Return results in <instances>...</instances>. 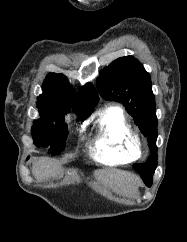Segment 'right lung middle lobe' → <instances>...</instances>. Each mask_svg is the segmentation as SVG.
Masks as SVG:
<instances>
[{
  "mask_svg": "<svg viewBox=\"0 0 187 242\" xmlns=\"http://www.w3.org/2000/svg\"><path fill=\"white\" fill-rule=\"evenodd\" d=\"M84 120L87 117H80ZM34 145L37 147H50L49 153L58 155L64 150L65 140L68 134L65 124V115L44 117L33 122L31 130Z\"/></svg>",
  "mask_w": 187,
  "mask_h": 242,
  "instance_id": "1",
  "label": "right lung middle lobe"
}]
</instances>
